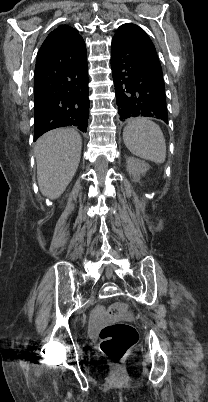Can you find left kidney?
<instances>
[{
    "label": "left kidney",
    "instance_id": "1",
    "mask_svg": "<svg viewBox=\"0 0 208 402\" xmlns=\"http://www.w3.org/2000/svg\"><path fill=\"white\" fill-rule=\"evenodd\" d=\"M127 172L132 176L134 182H139L141 174H146L149 164L138 160V158H126Z\"/></svg>",
    "mask_w": 208,
    "mask_h": 402
}]
</instances>
